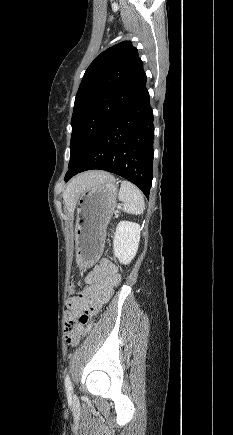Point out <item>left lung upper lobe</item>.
Returning <instances> with one entry per match:
<instances>
[{
  "instance_id": "left-lung-upper-lobe-1",
  "label": "left lung upper lobe",
  "mask_w": 233,
  "mask_h": 435,
  "mask_svg": "<svg viewBox=\"0 0 233 435\" xmlns=\"http://www.w3.org/2000/svg\"><path fill=\"white\" fill-rule=\"evenodd\" d=\"M146 81L143 62L131 41L120 42L95 58L75 98L69 168L81 161L106 128L141 96Z\"/></svg>"
}]
</instances>
